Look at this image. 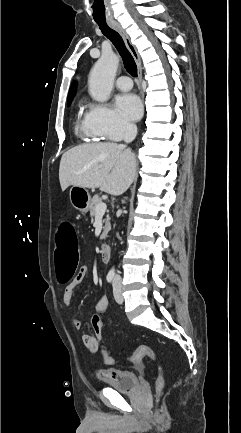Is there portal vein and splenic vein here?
Wrapping results in <instances>:
<instances>
[{
    "label": "portal vein and splenic vein",
    "instance_id": "obj_1",
    "mask_svg": "<svg viewBox=\"0 0 241 433\" xmlns=\"http://www.w3.org/2000/svg\"><path fill=\"white\" fill-rule=\"evenodd\" d=\"M107 209L106 203H100L96 206V215H103Z\"/></svg>",
    "mask_w": 241,
    "mask_h": 433
}]
</instances>
